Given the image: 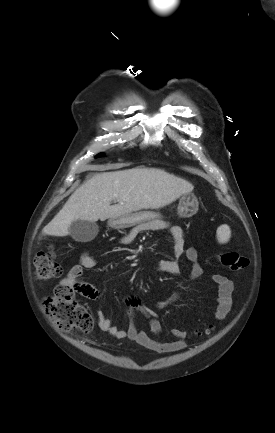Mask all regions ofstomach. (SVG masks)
<instances>
[{
	"label": "stomach",
	"mask_w": 275,
	"mask_h": 433,
	"mask_svg": "<svg viewBox=\"0 0 275 433\" xmlns=\"http://www.w3.org/2000/svg\"><path fill=\"white\" fill-rule=\"evenodd\" d=\"M198 199L194 194H184L179 202L177 214L182 218H190L198 211ZM159 216L151 211H143L122 215L116 218H110L108 225L113 229H122L137 224L149 222L158 219Z\"/></svg>",
	"instance_id": "stomach-1"
}]
</instances>
